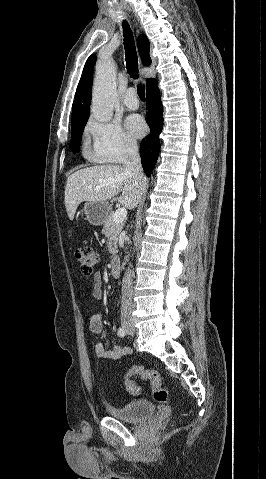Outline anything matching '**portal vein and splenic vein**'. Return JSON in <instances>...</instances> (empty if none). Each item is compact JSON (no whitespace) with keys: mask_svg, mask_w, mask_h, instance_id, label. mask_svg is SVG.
Listing matches in <instances>:
<instances>
[{"mask_svg":"<svg viewBox=\"0 0 266 479\" xmlns=\"http://www.w3.org/2000/svg\"><path fill=\"white\" fill-rule=\"evenodd\" d=\"M127 216V210L126 208H119L116 210L114 216H113V221L115 223H122L124 221V219L126 218Z\"/></svg>","mask_w":266,"mask_h":479,"instance_id":"portal-vein-and-splenic-vein-1","label":"portal vein and splenic vein"}]
</instances>
